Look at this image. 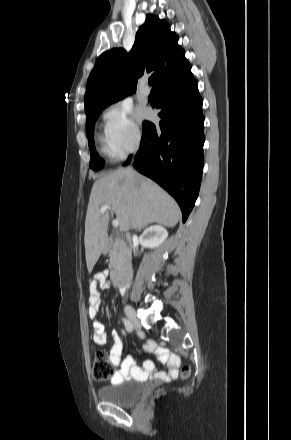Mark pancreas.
<instances>
[{"label":"pancreas","mask_w":291,"mask_h":440,"mask_svg":"<svg viewBox=\"0 0 291 440\" xmlns=\"http://www.w3.org/2000/svg\"><path fill=\"white\" fill-rule=\"evenodd\" d=\"M106 250L110 256L109 267L112 268L118 263L120 257L122 256V253H123L122 242L119 240L109 241L107 243Z\"/></svg>","instance_id":"pancreas-1"}]
</instances>
